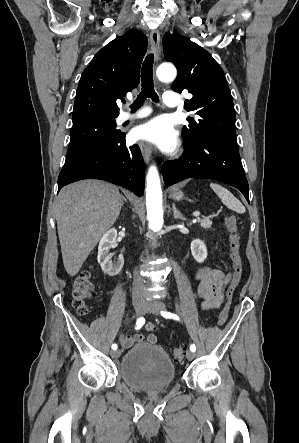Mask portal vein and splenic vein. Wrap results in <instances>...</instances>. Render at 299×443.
<instances>
[{
  "label": "portal vein and splenic vein",
  "instance_id": "portal-vein-and-splenic-vein-1",
  "mask_svg": "<svg viewBox=\"0 0 299 443\" xmlns=\"http://www.w3.org/2000/svg\"><path fill=\"white\" fill-rule=\"evenodd\" d=\"M193 216L196 217V218H198V217L200 216V212H198V211L194 212V213H193Z\"/></svg>",
  "mask_w": 299,
  "mask_h": 443
}]
</instances>
